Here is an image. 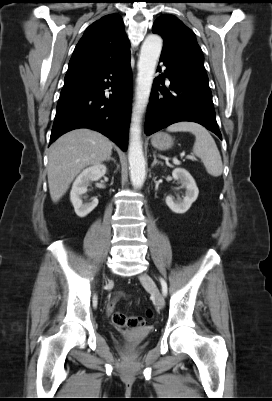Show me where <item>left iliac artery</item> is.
Instances as JSON below:
<instances>
[{"mask_svg": "<svg viewBox=\"0 0 272 401\" xmlns=\"http://www.w3.org/2000/svg\"><path fill=\"white\" fill-rule=\"evenodd\" d=\"M161 286H162V293L164 296L167 294V283L163 278H160Z\"/></svg>", "mask_w": 272, "mask_h": 401, "instance_id": "1", "label": "left iliac artery"}]
</instances>
